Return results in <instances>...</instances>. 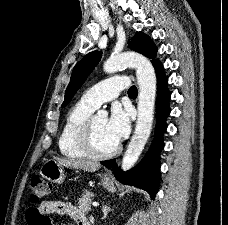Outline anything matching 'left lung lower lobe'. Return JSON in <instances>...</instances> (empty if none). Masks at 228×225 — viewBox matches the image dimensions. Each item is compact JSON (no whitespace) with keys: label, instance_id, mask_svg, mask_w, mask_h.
Masks as SVG:
<instances>
[{"label":"left lung lower lobe","instance_id":"left-lung-lower-lobe-1","mask_svg":"<svg viewBox=\"0 0 228 225\" xmlns=\"http://www.w3.org/2000/svg\"><path fill=\"white\" fill-rule=\"evenodd\" d=\"M157 75V101H156V129L151 147L143 160L128 172H123L114 159L101 161L105 167L112 169L117 180L123 184L133 185L146 190L152 199L158 191L160 184V151L163 149V133L165 132L166 118L170 113V92L167 89V77L160 62L153 64Z\"/></svg>","mask_w":228,"mask_h":225}]
</instances>
